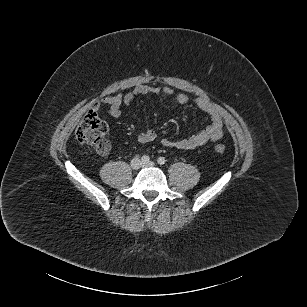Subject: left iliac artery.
Here are the masks:
<instances>
[{
  "label": "left iliac artery",
  "mask_w": 307,
  "mask_h": 307,
  "mask_svg": "<svg viewBox=\"0 0 307 307\" xmlns=\"http://www.w3.org/2000/svg\"><path fill=\"white\" fill-rule=\"evenodd\" d=\"M157 161H158V164H160V165H163L166 162L164 157H159Z\"/></svg>",
  "instance_id": "44dca946"
}]
</instances>
